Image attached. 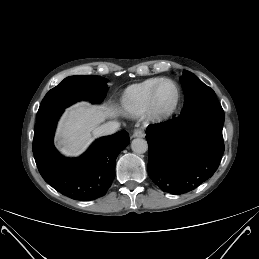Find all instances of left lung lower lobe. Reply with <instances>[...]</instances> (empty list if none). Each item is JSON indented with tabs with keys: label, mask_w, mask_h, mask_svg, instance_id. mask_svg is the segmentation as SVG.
<instances>
[{
	"label": "left lung lower lobe",
	"mask_w": 259,
	"mask_h": 259,
	"mask_svg": "<svg viewBox=\"0 0 259 259\" xmlns=\"http://www.w3.org/2000/svg\"><path fill=\"white\" fill-rule=\"evenodd\" d=\"M222 107L201 109L149 125L148 174L164 192L184 194L217 170L224 152Z\"/></svg>",
	"instance_id": "left-lung-lower-lobe-1"
}]
</instances>
